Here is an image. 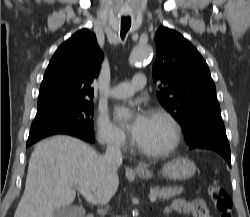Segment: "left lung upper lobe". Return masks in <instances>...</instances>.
<instances>
[{"label": "left lung upper lobe", "instance_id": "1", "mask_svg": "<svg viewBox=\"0 0 250 217\" xmlns=\"http://www.w3.org/2000/svg\"><path fill=\"white\" fill-rule=\"evenodd\" d=\"M157 56L152 73L157 98L181 124L185 137L213 118H221L215 85L197 49L180 33L161 26L155 35Z\"/></svg>", "mask_w": 250, "mask_h": 217}]
</instances>
